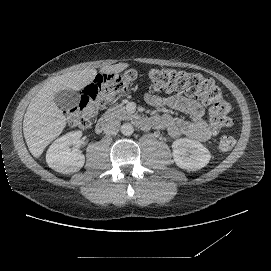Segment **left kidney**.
I'll use <instances>...</instances> for the list:
<instances>
[{
    "instance_id": "5707ae66",
    "label": "left kidney",
    "mask_w": 271,
    "mask_h": 271,
    "mask_svg": "<svg viewBox=\"0 0 271 271\" xmlns=\"http://www.w3.org/2000/svg\"><path fill=\"white\" fill-rule=\"evenodd\" d=\"M173 159L176 165L187 171H196L205 167L210 159L209 150L199 141L180 138L173 142Z\"/></svg>"
}]
</instances>
